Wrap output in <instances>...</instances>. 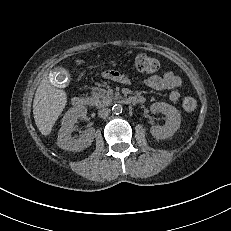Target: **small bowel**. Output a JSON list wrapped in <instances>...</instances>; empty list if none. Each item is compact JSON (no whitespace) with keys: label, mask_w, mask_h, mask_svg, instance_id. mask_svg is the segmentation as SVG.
Segmentation results:
<instances>
[{"label":"small bowel","mask_w":231,"mask_h":231,"mask_svg":"<svg viewBox=\"0 0 231 231\" xmlns=\"http://www.w3.org/2000/svg\"><path fill=\"white\" fill-rule=\"evenodd\" d=\"M102 76L105 79L126 85L131 83L129 77L115 70L104 71ZM145 84L155 90H170L169 99L172 102H176L180 98L179 89L182 86V80L172 71H164L160 74L151 75L145 80Z\"/></svg>","instance_id":"c3829d8e"}]
</instances>
